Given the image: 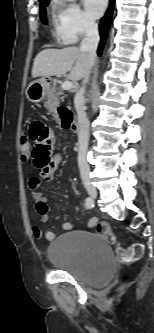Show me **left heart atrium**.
<instances>
[{
    "mask_svg": "<svg viewBox=\"0 0 154 333\" xmlns=\"http://www.w3.org/2000/svg\"><path fill=\"white\" fill-rule=\"evenodd\" d=\"M86 12L90 18H97L103 12L107 0H83Z\"/></svg>",
    "mask_w": 154,
    "mask_h": 333,
    "instance_id": "obj_1",
    "label": "left heart atrium"
}]
</instances>
